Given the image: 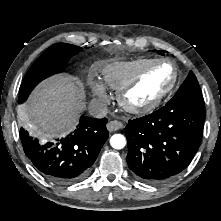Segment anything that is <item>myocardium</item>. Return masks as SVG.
I'll use <instances>...</instances> for the list:
<instances>
[{"instance_id":"1","label":"myocardium","mask_w":221,"mask_h":221,"mask_svg":"<svg viewBox=\"0 0 221 221\" xmlns=\"http://www.w3.org/2000/svg\"><path fill=\"white\" fill-rule=\"evenodd\" d=\"M167 65L172 70V77L168 85L153 99L146 103L137 104L130 100V92L137 86L141 79L155 66ZM179 78V70L177 66L168 59L151 60L136 75L129 79L124 85L118 89L117 99L120 106L128 113L134 115H143L152 112L159 107L162 102L174 90Z\"/></svg>"}]
</instances>
